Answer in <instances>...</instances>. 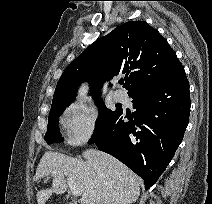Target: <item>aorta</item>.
<instances>
[{"label": "aorta", "mask_w": 212, "mask_h": 204, "mask_svg": "<svg viewBox=\"0 0 212 204\" xmlns=\"http://www.w3.org/2000/svg\"><path fill=\"white\" fill-rule=\"evenodd\" d=\"M86 92H87L86 86L85 85L81 86L80 92L78 94L79 101H85L87 99Z\"/></svg>", "instance_id": "1"}]
</instances>
